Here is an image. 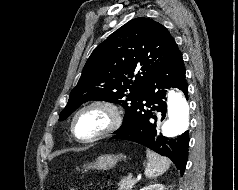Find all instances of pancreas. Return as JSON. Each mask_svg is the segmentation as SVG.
Masks as SVG:
<instances>
[{"label": "pancreas", "mask_w": 238, "mask_h": 190, "mask_svg": "<svg viewBox=\"0 0 238 190\" xmlns=\"http://www.w3.org/2000/svg\"><path fill=\"white\" fill-rule=\"evenodd\" d=\"M136 179H133L132 177H124L121 179V181L118 183V190H132L133 186L136 184Z\"/></svg>", "instance_id": "cf45deb5"}]
</instances>
